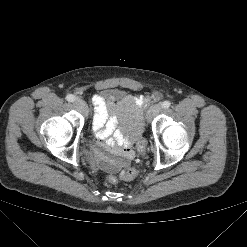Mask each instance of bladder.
Returning a JSON list of instances; mask_svg holds the SVG:
<instances>
[{
    "instance_id": "31cf9c89",
    "label": "bladder",
    "mask_w": 247,
    "mask_h": 247,
    "mask_svg": "<svg viewBox=\"0 0 247 247\" xmlns=\"http://www.w3.org/2000/svg\"><path fill=\"white\" fill-rule=\"evenodd\" d=\"M100 97L111 99L112 101H116L118 98L122 97V93L116 89H105L100 93Z\"/></svg>"
}]
</instances>
